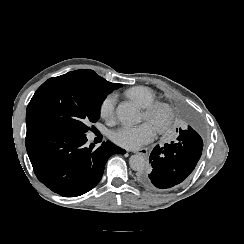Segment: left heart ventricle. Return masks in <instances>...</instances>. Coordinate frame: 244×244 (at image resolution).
<instances>
[{
  "label": "left heart ventricle",
  "mask_w": 244,
  "mask_h": 244,
  "mask_svg": "<svg viewBox=\"0 0 244 244\" xmlns=\"http://www.w3.org/2000/svg\"><path fill=\"white\" fill-rule=\"evenodd\" d=\"M158 118H159L158 116H151V117H149L148 121L150 123L154 124L158 120ZM143 119H146V116L144 113H143Z\"/></svg>",
  "instance_id": "obj_1"
}]
</instances>
